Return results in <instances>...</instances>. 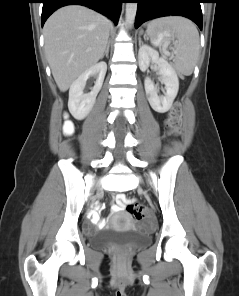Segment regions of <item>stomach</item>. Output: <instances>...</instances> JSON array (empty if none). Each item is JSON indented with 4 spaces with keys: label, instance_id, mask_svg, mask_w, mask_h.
I'll return each mask as SVG.
<instances>
[{
    "label": "stomach",
    "instance_id": "0dacf381",
    "mask_svg": "<svg viewBox=\"0 0 239 296\" xmlns=\"http://www.w3.org/2000/svg\"><path fill=\"white\" fill-rule=\"evenodd\" d=\"M163 36H170V35L167 31L162 32V30L157 31L154 35H150L152 42L155 45H159L161 43Z\"/></svg>",
    "mask_w": 239,
    "mask_h": 296
}]
</instances>
